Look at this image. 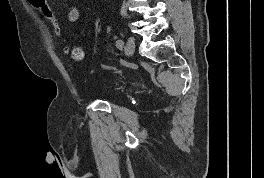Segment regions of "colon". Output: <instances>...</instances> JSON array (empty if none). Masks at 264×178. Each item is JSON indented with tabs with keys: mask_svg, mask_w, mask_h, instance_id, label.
Segmentation results:
<instances>
[{
	"mask_svg": "<svg viewBox=\"0 0 264 178\" xmlns=\"http://www.w3.org/2000/svg\"><path fill=\"white\" fill-rule=\"evenodd\" d=\"M28 2L37 9L45 21L50 25V27L53 29L55 34L62 38L63 31L62 26L60 24L59 19L57 16L51 11V9L48 7L45 0H28ZM65 53L70 55L72 59L75 60H82L84 58V50L81 47H72L67 44L64 46Z\"/></svg>",
	"mask_w": 264,
	"mask_h": 178,
	"instance_id": "1",
	"label": "colon"
}]
</instances>
